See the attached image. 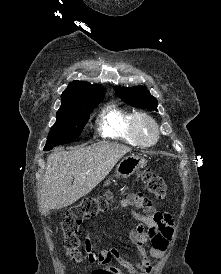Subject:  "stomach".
I'll return each mask as SVG.
<instances>
[{"label":"stomach","instance_id":"obj_1","mask_svg":"<svg viewBox=\"0 0 221 274\" xmlns=\"http://www.w3.org/2000/svg\"><path fill=\"white\" fill-rule=\"evenodd\" d=\"M147 160L138 155H129L123 158L116 167V177L128 178L133 175L137 170L144 168ZM110 180L105 182V186L110 184Z\"/></svg>","mask_w":221,"mask_h":274}]
</instances>
